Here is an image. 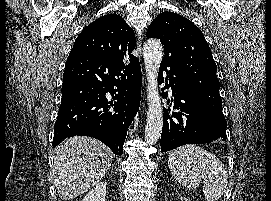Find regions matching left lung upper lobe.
<instances>
[{"label":"left lung upper lobe","mask_w":271,"mask_h":201,"mask_svg":"<svg viewBox=\"0 0 271 201\" xmlns=\"http://www.w3.org/2000/svg\"><path fill=\"white\" fill-rule=\"evenodd\" d=\"M147 38L160 39L165 52L161 63L178 73L184 87L203 102L220 132L226 135L217 66L201 30L179 14L163 12L150 24Z\"/></svg>","instance_id":"left-lung-upper-lobe-1"}]
</instances>
